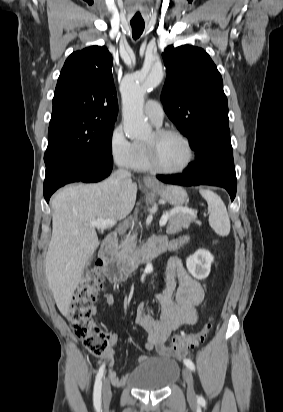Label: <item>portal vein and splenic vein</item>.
Listing matches in <instances>:
<instances>
[{"label":"portal vein and splenic vein","mask_w":283,"mask_h":412,"mask_svg":"<svg viewBox=\"0 0 283 412\" xmlns=\"http://www.w3.org/2000/svg\"><path fill=\"white\" fill-rule=\"evenodd\" d=\"M178 212H184V213H189V214L194 215V212H193L192 209H189V208H186V207H178V208H175V209L171 210L169 213L164 214L161 217L160 222H159L160 226L161 227L165 226L168 219H169V217L171 215L175 214V213H178ZM116 223H117V221L113 220V219H98L96 221H92V222L88 223V226L89 227H94V228H97V229H100V230H104V229L113 227Z\"/></svg>","instance_id":"obj_1"}]
</instances>
